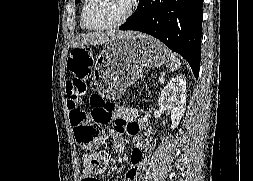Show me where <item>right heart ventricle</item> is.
<instances>
[{
  "mask_svg": "<svg viewBox=\"0 0 253 181\" xmlns=\"http://www.w3.org/2000/svg\"><path fill=\"white\" fill-rule=\"evenodd\" d=\"M84 3H85V1H84ZM84 3H83V6H84ZM82 8H83V7H82ZM80 26H81V29H82V30L86 29V28L83 26V24H82V20L80 21Z\"/></svg>",
  "mask_w": 253,
  "mask_h": 181,
  "instance_id": "1",
  "label": "right heart ventricle"
}]
</instances>
